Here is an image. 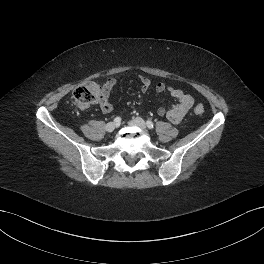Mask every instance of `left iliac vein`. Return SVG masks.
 Instances as JSON below:
<instances>
[{
	"label": "left iliac vein",
	"instance_id": "obj_1",
	"mask_svg": "<svg viewBox=\"0 0 264 264\" xmlns=\"http://www.w3.org/2000/svg\"><path fill=\"white\" fill-rule=\"evenodd\" d=\"M129 125L136 126V127H139V128H141L143 130H146V123L140 117H137V118L132 119L131 121H129Z\"/></svg>",
	"mask_w": 264,
	"mask_h": 264
}]
</instances>
